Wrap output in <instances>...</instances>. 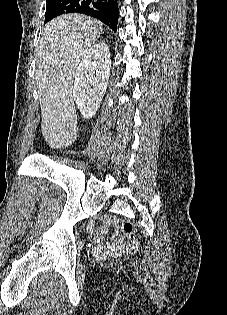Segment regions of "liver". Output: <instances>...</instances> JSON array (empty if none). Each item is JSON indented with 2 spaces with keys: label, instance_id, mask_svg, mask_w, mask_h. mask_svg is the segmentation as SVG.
Masks as SVG:
<instances>
[{
  "label": "liver",
  "instance_id": "6515ba94",
  "mask_svg": "<svg viewBox=\"0 0 227 315\" xmlns=\"http://www.w3.org/2000/svg\"><path fill=\"white\" fill-rule=\"evenodd\" d=\"M103 24L89 16L69 13L43 29L36 54V84L42 135L51 148L70 146L77 137L73 83L81 58L97 41Z\"/></svg>",
  "mask_w": 227,
  "mask_h": 315
}]
</instances>
